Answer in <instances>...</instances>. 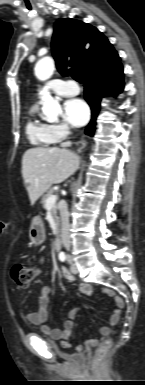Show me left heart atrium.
Returning <instances> with one entry per match:
<instances>
[{
    "label": "left heart atrium",
    "instance_id": "left-heart-atrium-1",
    "mask_svg": "<svg viewBox=\"0 0 145 385\" xmlns=\"http://www.w3.org/2000/svg\"><path fill=\"white\" fill-rule=\"evenodd\" d=\"M64 115L70 124L79 127L86 124L90 116V111L84 100L71 98L64 104Z\"/></svg>",
    "mask_w": 145,
    "mask_h": 385
}]
</instances>
